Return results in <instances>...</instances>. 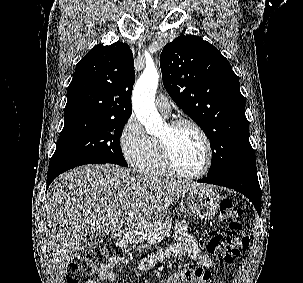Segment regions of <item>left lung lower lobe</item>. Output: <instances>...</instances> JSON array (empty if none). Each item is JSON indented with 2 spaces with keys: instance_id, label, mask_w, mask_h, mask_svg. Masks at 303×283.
<instances>
[{
  "instance_id": "obj_1",
  "label": "left lung lower lobe",
  "mask_w": 303,
  "mask_h": 283,
  "mask_svg": "<svg viewBox=\"0 0 303 283\" xmlns=\"http://www.w3.org/2000/svg\"><path fill=\"white\" fill-rule=\"evenodd\" d=\"M228 187L245 195L255 206L258 214L261 209V189L257 177L256 163L217 176H207L198 180Z\"/></svg>"
}]
</instances>
